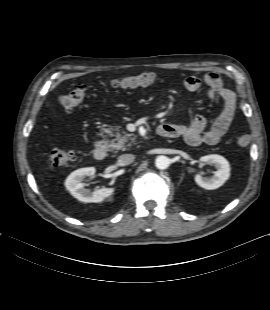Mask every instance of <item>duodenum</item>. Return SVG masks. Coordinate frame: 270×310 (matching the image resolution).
<instances>
[{"label":"duodenum","mask_w":270,"mask_h":310,"mask_svg":"<svg viewBox=\"0 0 270 310\" xmlns=\"http://www.w3.org/2000/svg\"><path fill=\"white\" fill-rule=\"evenodd\" d=\"M159 135H160L161 137H164V138H169V137H167L166 131H165L163 128H161V129L159 130ZM106 156H107V148H106V145H105L104 143H102V142L97 143V145H96L95 148H94V157H95L97 160H103V159L106 158Z\"/></svg>","instance_id":"duodenum-1"}]
</instances>
